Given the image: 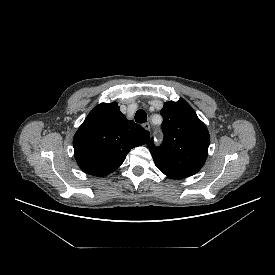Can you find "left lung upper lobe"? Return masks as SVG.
Instances as JSON below:
<instances>
[{
	"instance_id": "5c2ea615",
	"label": "left lung upper lobe",
	"mask_w": 275,
	"mask_h": 275,
	"mask_svg": "<svg viewBox=\"0 0 275 275\" xmlns=\"http://www.w3.org/2000/svg\"><path fill=\"white\" fill-rule=\"evenodd\" d=\"M164 140L149 150L157 168L169 178H185L197 173L205 163L210 136L205 124L183 99L169 101L161 110Z\"/></svg>"
}]
</instances>
